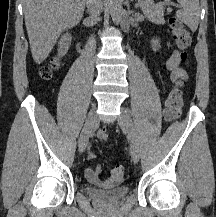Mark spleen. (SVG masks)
<instances>
[{
	"label": "spleen",
	"instance_id": "3e777b00",
	"mask_svg": "<svg viewBox=\"0 0 216 217\" xmlns=\"http://www.w3.org/2000/svg\"><path fill=\"white\" fill-rule=\"evenodd\" d=\"M177 1L182 6V9L176 12L177 18L185 23L192 31H196L200 19L199 0Z\"/></svg>",
	"mask_w": 216,
	"mask_h": 217
}]
</instances>
